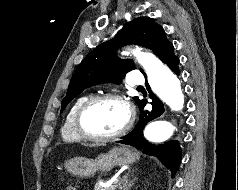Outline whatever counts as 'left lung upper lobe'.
Listing matches in <instances>:
<instances>
[{
	"instance_id": "obj_1",
	"label": "left lung upper lobe",
	"mask_w": 238,
	"mask_h": 190,
	"mask_svg": "<svg viewBox=\"0 0 238 190\" xmlns=\"http://www.w3.org/2000/svg\"><path fill=\"white\" fill-rule=\"evenodd\" d=\"M128 44L147 47L162 61L173 52V45L167 40L164 29L152 18L139 17L126 23L114 39L99 45L77 67L62 100L60 113L84 89L109 81L119 83L120 76L135 69L131 59L114 62L117 58L115 48ZM133 99L137 104L141 101L138 97Z\"/></svg>"
}]
</instances>
